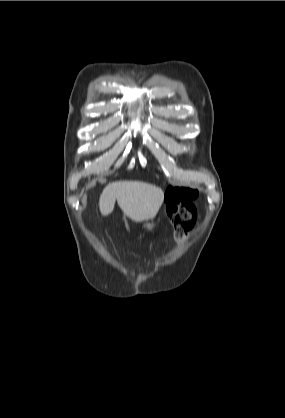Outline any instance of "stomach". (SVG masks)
<instances>
[{"instance_id":"0dacf381","label":"stomach","mask_w":285,"mask_h":418,"mask_svg":"<svg viewBox=\"0 0 285 418\" xmlns=\"http://www.w3.org/2000/svg\"><path fill=\"white\" fill-rule=\"evenodd\" d=\"M157 226V222L153 219L147 220V222L144 224V228L147 231L153 230Z\"/></svg>"}]
</instances>
